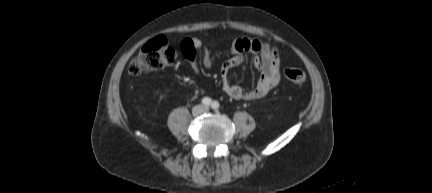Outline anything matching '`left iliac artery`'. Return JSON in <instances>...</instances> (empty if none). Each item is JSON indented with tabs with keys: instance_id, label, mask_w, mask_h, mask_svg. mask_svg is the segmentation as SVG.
<instances>
[{
	"instance_id": "obj_1",
	"label": "left iliac artery",
	"mask_w": 432,
	"mask_h": 193,
	"mask_svg": "<svg viewBox=\"0 0 432 193\" xmlns=\"http://www.w3.org/2000/svg\"><path fill=\"white\" fill-rule=\"evenodd\" d=\"M211 107H212V109L217 110L220 107V104L218 101H214V102H212Z\"/></svg>"
}]
</instances>
